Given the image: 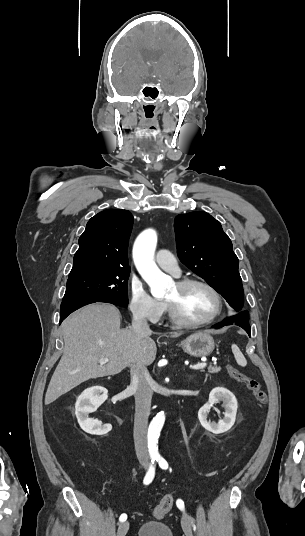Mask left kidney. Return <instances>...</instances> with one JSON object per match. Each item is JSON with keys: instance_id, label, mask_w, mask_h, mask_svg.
I'll use <instances>...</instances> for the list:
<instances>
[{"instance_id": "obj_1", "label": "left kidney", "mask_w": 305, "mask_h": 536, "mask_svg": "<svg viewBox=\"0 0 305 536\" xmlns=\"http://www.w3.org/2000/svg\"><path fill=\"white\" fill-rule=\"evenodd\" d=\"M219 402H223L222 406L225 410V412H223V420H220L218 424H215V422H208L207 416L211 408H213V404H219ZM237 408V400L232 392H229L226 388H214L209 394L207 404H204L198 412L200 424L205 430L212 432V434H223V432H228L235 422Z\"/></svg>"}]
</instances>
